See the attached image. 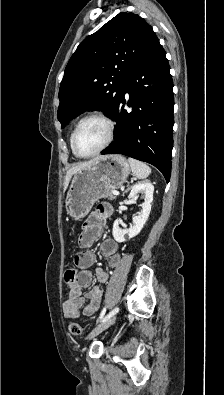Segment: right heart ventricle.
Returning <instances> with one entry per match:
<instances>
[{
	"label": "right heart ventricle",
	"instance_id": "1",
	"mask_svg": "<svg viewBox=\"0 0 224 395\" xmlns=\"http://www.w3.org/2000/svg\"><path fill=\"white\" fill-rule=\"evenodd\" d=\"M70 146H71V149H72V134L70 136Z\"/></svg>",
	"mask_w": 224,
	"mask_h": 395
}]
</instances>
